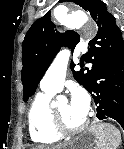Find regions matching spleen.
Segmentation results:
<instances>
[{
  "instance_id": "1",
  "label": "spleen",
  "mask_w": 124,
  "mask_h": 149,
  "mask_svg": "<svg viewBox=\"0 0 124 149\" xmlns=\"http://www.w3.org/2000/svg\"><path fill=\"white\" fill-rule=\"evenodd\" d=\"M98 149H117L121 142L120 132L113 125L102 123L95 127Z\"/></svg>"
}]
</instances>
